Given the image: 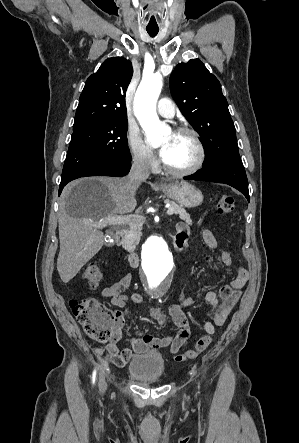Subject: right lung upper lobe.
<instances>
[{
  "mask_svg": "<svg viewBox=\"0 0 299 443\" xmlns=\"http://www.w3.org/2000/svg\"><path fill=\"white\" fill-rule=\"evenodd\" d=\"M132 75L129 60L106 59L85 83L73 127L104 119H127L125 94Z\"/></svg>",
  "mask_w": 299,
  "mask_h": 443,
  "instance_id": "right-lung-upper-lobe-1",
  "label": "right lung upper lobe"
}]
</instances>
